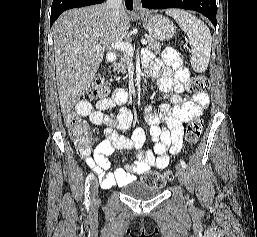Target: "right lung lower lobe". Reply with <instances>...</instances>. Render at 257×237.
Segmentation results:
<instances>
[{"mask_svg": "<svg viewBox=\"0 0 257 237\" xmlns=\"http://www.w3.org/2000/svg\"><path fill=\"white\" fill-rule=\"evenodd\" d=\"M103 1L104 0H53L51 7L50 26H52L60 14L67 9L98 4L102 3ZM125 5L127 9H133L132 0H126Z\"/></svg>", "mask_w": 257, "mask_h": 237, "instance_id": "1", "label": "right lung lower lobe"}]
</instances>
